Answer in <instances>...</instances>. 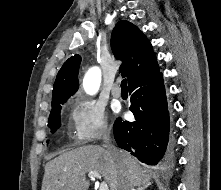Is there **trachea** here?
<instances>
[{
  "instance_id": "3493384b",
  "label": "trachea",
  "mask_w": 221,
  "mask_h": 190,
  "mask_svg": "<svg viewBox=\"0 0 221 190\" xmlns=\"http://www.w3.org/2000/svg\"><path fill=\"white\" fill-rule=\"evenodd\" d=\"M121 88L122 90H127V80L123 79L121 82Z\"/></svg>"
}]
</instances>
